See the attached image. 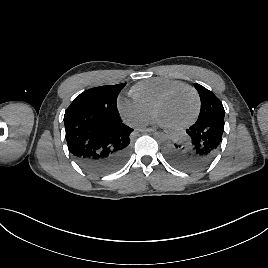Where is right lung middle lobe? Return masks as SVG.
Returning <instances> with one entry per match:
<instances>
[{"label":"right lung middle lobe","instance_id":"1","mask_svg":"<svg viewBox=\"0 0 268 268\" xmlns=\"http://www.w3.org/2000/svg\"><path fill=\"white\" fill-rule=\"evenodd\" d=\"M126 84L101 86L84 91L77 96L65 111L67 116L81 109H90L109 115H118L117 96Z\"/></svg>","mask_w":268,"mask_h":268}]
</instances>
